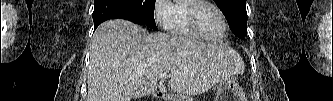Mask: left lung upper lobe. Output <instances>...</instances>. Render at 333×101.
<instances>
[{
	"label": "left lung upper lobe",
	"instance_id": "5c2ea615",
	"mask_svg": "<svg viewBox=\"0 0 333 101\" xmlns=\"http://www.w3.org/2000/svg\"><path fill=\"white\" fill-rule=\"evenodd\" d=\"M226 17L232 32L244 38L247 35L246 0H214Z\"/></svg>",
	"mask_w": 333,
	"mask_h": 101
}]
</instances>
